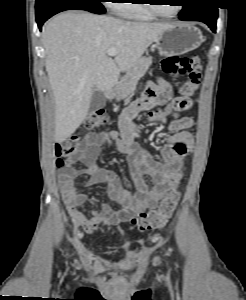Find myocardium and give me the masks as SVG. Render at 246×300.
<instances>
[{
  "mask_svg": "<svg viewBox=\"0 0 246 300\" xmlns=\"http://www.w3.org/2000/svg\"><path fill=\"white\" fill-rule=\"evenodd\" d=\"M147 1H148V3H147L148 9L154 15H156L157 17H160V18H165V19L174 18V17L178 16L183 9V6L179 5L178 9L173 14L168 15V14H164L163 12L160 11L158 5L155 3L154 0H147Z\"/></svg>",
  "mask_w": 246,
  "mask_h": 300,
  "instance_id": "obj_1",
  "label": "myocardium"
}]
</instances>
